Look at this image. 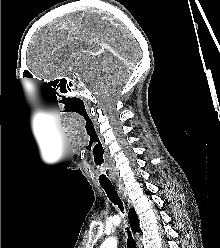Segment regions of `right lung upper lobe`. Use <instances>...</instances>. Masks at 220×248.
I'll return each instance as SVG.
<instances>
[{
  "instance_id": "obj_1",
  "label": "right lung upper lobe",
  "mask_w": 220,
  "mask_h": 248,
  "mask_svg": "<svg viewBox=\"0 0 220 248\" xmlns=\"http://www.w3.org/2000/svg\"><path fill=\"white\" fill-rule=\"evenodd\" d=\"M128 215H129V218H130V223H131L132 230L140 232L139 220H138V217H137V214H136L135 210L133 208H131L129 210Z\"/></svg>"
}]
</instances>
